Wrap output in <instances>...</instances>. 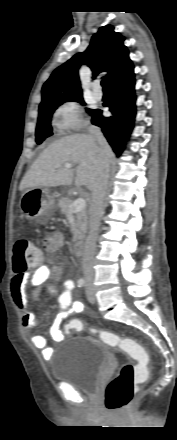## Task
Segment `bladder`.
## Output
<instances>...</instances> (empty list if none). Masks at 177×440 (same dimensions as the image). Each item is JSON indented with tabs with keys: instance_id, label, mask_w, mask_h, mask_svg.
I'll use <instances>...</instances> for the list:
<instances>
[{
	"instance_id": "obj_1",
	"label": "bladder",
	"mask_w": 177,
	"mask_h": 440,
	"mask_svg": "<svg viewBox=\"0 0 177 440\" xmlns=\"http://www.w3.org/2000/svg\"><path fill=\"white\" fill-rule=\"evenodd\" d=\"M75 341V345L64 344L57 351L50 366L51 377L94 395L108 362L109 350L94 337H79Z\"/></svg>"
}]
</instances>
